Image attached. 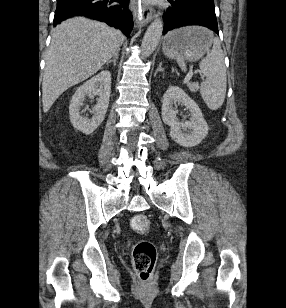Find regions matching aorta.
I'll use <instances>...</instances> for the list:
<instances>
[{
    "instance_id": "762f6f07",
    "label": "aorta",
    "mask_w": 286,
    "mask_h": 308,
    "mask_svg": "<svg viewBox=\"0 0 286 308\" xmlns=\"http://www.w3.org/2000/svg\"><path fill=\"white\" fill-rule=\"evenodd\" d=\"M163 27V21L157 18L147 28L141 44V55L143 57H148L154 52L162 36Z\"/></svg>"
}]
</instances>
